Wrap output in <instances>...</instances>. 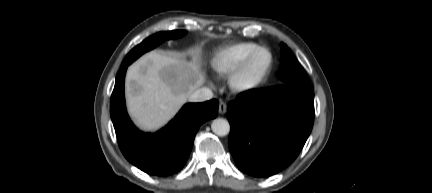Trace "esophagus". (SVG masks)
<instances>
[{"instance_id": "obj_1", "label": "esophagus", "mask_w": 432, "mask_h": 193, "mask_svg": "<svg viewBox=\"0 0 432 193\" xmlns=\"http://www.w3.org/2000/svg\"><path fill=\"white\" fill-rule=\"evenodd\" d=\"M218 111H219V114H222V115L225 114L226 111H227V104L225 102L221 101L219 103V109H218Z\"/></svg>"}]
</instances>
